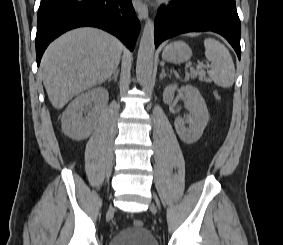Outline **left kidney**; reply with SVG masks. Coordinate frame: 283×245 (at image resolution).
I'll list each match as a JSON object with an SVG mask.
<instances>
[{"label": "left kidney", "instance_id": "1", "mask_svg": "<svg viewBox=\"0 0 283 245\" xmlns=\"http://www.w3.org/2000/svg\"><path fill=\"white\" fill-rule=\"evenodd\" d=\"M177 85H169L165 88L163 96L166 102L174 98ZM186 102L185 108L191 113L187 121L177 117L174 122L175 129L181 138L187 144H192L200 139L204 129L209 121V113L205 100L197 88L187 85L182 89ZM188 123V127L185 124Z\"/></svg>", "mask_w": 283, "mask_h": 245}]
</instances>
